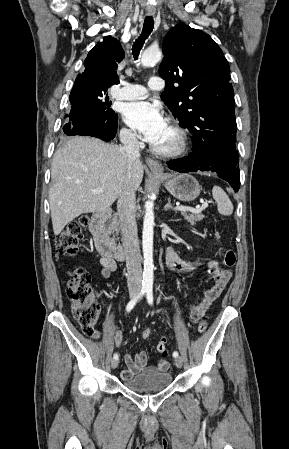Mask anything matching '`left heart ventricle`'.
Listing matches in <instances>:
<instances>
[{"label":"left heart ventricle","mask_w":289,"mask_h":449,"mask_svg":"<svg viewBox=\"0 0 289 449\" xmlns=\"http://www.w3.org/2000/svg\"><path fill=\"white\" fill-rule=\"evenodd\" d=\"M176 136L174 132L167 126L159 140L154 144L159 149H169L174 146Z\"/></svg>","instance_id":"1"}]
</instances>
